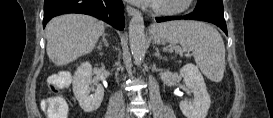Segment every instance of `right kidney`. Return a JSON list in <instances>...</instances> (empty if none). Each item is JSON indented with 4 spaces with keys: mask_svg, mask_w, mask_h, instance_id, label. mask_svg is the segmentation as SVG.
<instances>
[{
    "mask_svg": "<svg viewBox=\"0 0 273 118\" xmlns=\"http://www.w3.org/2000/svg\"><path fill=\"white\" fill-rule=\"evenodd\" d=\"M92 80V66L89 62L82 63L76 70L73 77V92L80 107L85 112L97 110L104 97V88L97 84L96 89L90 87ZM93 90L94 93L90 94Z\"/></svg>",
    "mask_w": 273,
    "mask_h": 118,
    "instance_id": "obj_1",
    "label": "right kidney"
}]
</instances>
